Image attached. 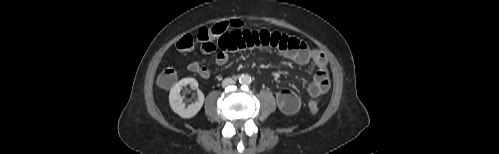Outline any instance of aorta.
Returning <instances> with one entry per match:
<instances>
[{"label": "aorta", "instance_id": "obj_1", "mask_svg": "<svg viewBox=\"0 0 499 154\" xmlns=\"http://www.w3.org/2000/svg\"><path fill=\"white\" fill-rule=\"evenodd\" d=\"M239 83L242 85H249L251 83V76L248 74H242L239 77Z\"/></svg>", "mask_w": 499, "mask_h": 154}]
</instances>
